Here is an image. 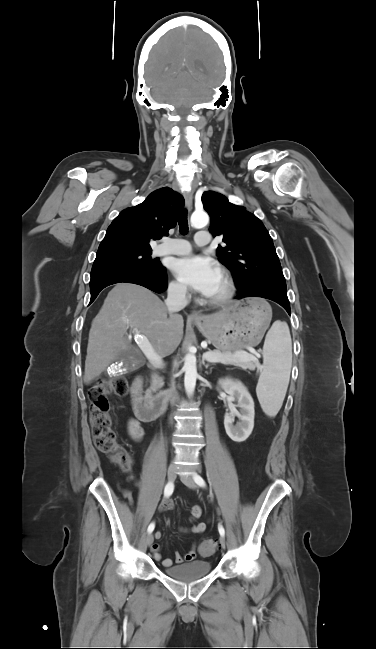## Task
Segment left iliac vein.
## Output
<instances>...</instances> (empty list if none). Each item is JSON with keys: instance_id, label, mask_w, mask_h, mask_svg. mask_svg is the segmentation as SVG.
Masks as SVG:
<instances>
[{"instance_id": "4c4485c4", "label": "left iliac vein", "mask_w": 376, "mask_h": 649, "mask_svg": "<svg viewBox=\"0 0 376 649\" xmlns=\"http://www.w3.org/2000/svg\"><path fill=\"white\" fill-rule=\"evenodd\" d=\"M181 481L189 488L196 489V484L190 476H181ZM219 542L222 548L226 547V540L224 536H220Z\"/></svg>"}]
</instances>
